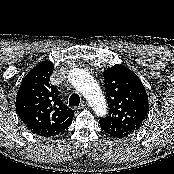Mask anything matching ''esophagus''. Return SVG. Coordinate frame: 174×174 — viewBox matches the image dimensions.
Segmentation results:
<instances>
[{
    "label": "esophagus",
    "instance_id": "esophagus-1",
    "mask_svg": "<svg viewBox=\"0 0 174 174\" xmlns=\"http://www.w3.org/2000/svg\"><path fill=\"white\" fill-rule=\"evenodd\" d=\"M86 106H87V102L83 101V102L80 104L79 109L82 110V109H84Z\"/></svg>",
    "mask_w": 174,
    "mask_h": 174
}]
</instances>
